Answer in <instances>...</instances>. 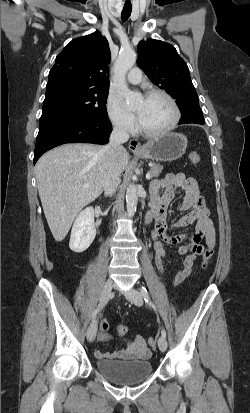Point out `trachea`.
I'll list each match as a JSON object with an SVG mask.
<instances>
[{
    "instance_id": "obj_1",
    "label": "trachea",
    "mask_w": 250,
    "mask_h": 413,
    "mask_svg": "<svg viewBox=\"0 0 250 413\" xmlns=\"http://www.w3.org/2000/svg\"><path fill=\"white\" fill-rule=\"evenodd\" d=\"M131 12H132V5H131V3H125V4H124V7H123V10H122V13H121V19H122L123 21L128 20V18H129L130 15H131Z\"/></svg>"
}]
</instances>
